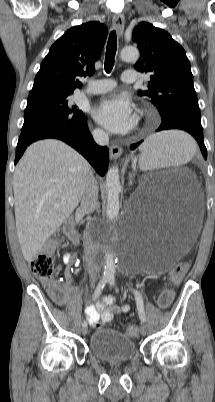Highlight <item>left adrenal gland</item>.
<instances>
[{
    "label": "left adrenal gland",
    "instance_id": "a2214340",
    "mask_svg": "<svg viewBox=\"0 0 215 402\" xmlns=\"http://www.w3.org/2000/svg\"><path fill=\"white\" fill-rule=\"evenodd\" d=\"M133 177H134V174L130 173L129 174V186L132 185Z\"/></svg>",
    "mask_w": 215,
    "mask_h": 402
}]
</instances>
